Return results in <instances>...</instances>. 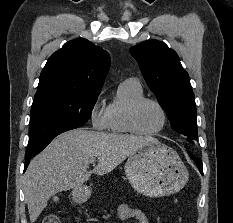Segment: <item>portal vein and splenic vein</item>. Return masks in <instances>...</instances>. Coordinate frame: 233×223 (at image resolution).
Masks as SVG:
<instances>
[{
    "mask_svg": "<svg viewBox=\"0 0 233 223\" xmlns=\"http://www.w3.org/2000/svg\"><path fill=\"white\" fill-rule=\"evenodd\" d=\"M92 163H95V159H93Z\"/></svg>",
    "mask_w": 233,
    "mask_h": 223,
    "instance_id": "obj_1",
    "label": "portal vein and splenic vein"
}]
</instances>
